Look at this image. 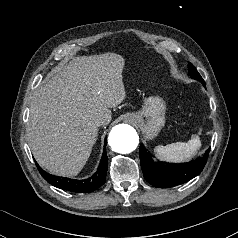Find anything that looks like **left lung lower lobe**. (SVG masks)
I'll list each match as a JSON object with an SVG mask.
<instances>
[{
	"label": "left lung lower lobe",
	"mask_w": 238,
	"mask_h": 238,
	"mask_svg": "<svg viewBox=\"0 0 238 238\" xmlns=\"http://www.w3.org/2000/svg\"><path fill=\"white\" fill-rule=\"evenodd\" d=\"M210 149H208L198 162L165 165L156 163L140 146V163L147 182L158 188H169L188 182L203 170Z\"/></svg>",
	"instance_id": "left-lung-lower-lobe-1"
}]
</instances>
